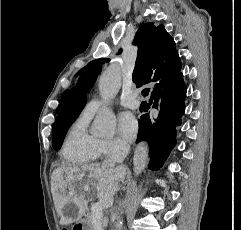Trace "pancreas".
<instances>
[{
	"instance_id": "cf45deb5",
	"label": "pancreas",
	"mask_w": 241,
	"mask_h": 230,
	"mask_svg": "<svg viewBox=\"0 0 241 230\" xmlns=\"http://www.w3.org/2000/svg\"><path fill=\"white\" fill-rule=\"evenodd\" d=\"M87 222L91 225V230H101V227H97L94 225L93 220H92V215H89L86 217Z\"/></svg>"
}]
</instances>
